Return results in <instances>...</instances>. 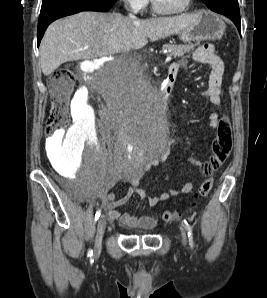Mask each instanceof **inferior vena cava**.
I'll return each mask as SVG.
<instances>
[{
	"instance_id": "obj_1",
	"label": "inferior vena cava",
	"mask_w": 267,
	"mask_h": 298,
	"mask_svg": "<svg viewBox=\"0 0 267 298\" xmlns=\"http://www.w3.org/2000/svg\"><path fill=\"white\" fill-rule=\"evenodd\" d=\"M135 16L133 14H129V19H134ZM122 69L125 71H129L133 67L132 59H124L121 63Z\"/></svg>"
}]
</instances>
